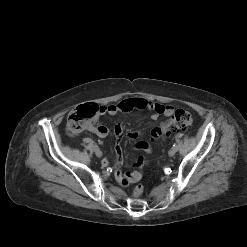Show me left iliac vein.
<instances>
[{
	"label": "left iliac vein",
	"instance_id": "1",
	"mask_svg": "<svg viewBox=\"0 0 247 247\" xmlns=\"http://www.w3.org/2000/svg\"><path fill=\"white\" fill-rule=\"evenodd\" d=\"M176 149H174V148H171L170 150H169V156H171V157H173L174 155H175V153H176Z\"/></svg>",
	"mask_w": 247,
	"mask_h": 247
}]
</instances>
